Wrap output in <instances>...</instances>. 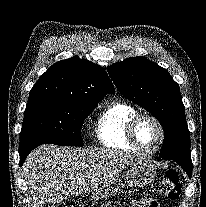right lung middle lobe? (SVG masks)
<instances>
[{"instance_id": "dd1d6c3e", "label": "right lung middle lobe", "mask_w": 206, "mask_h": 207, "mask_svg": "<svg viewBox=\"0 0 206 207\" xmlns=\"http://www.w3.org/2000/svg\"><path fill=\"white\" fill-rule=\"evenodd\" d=\"M97 104H82L56 99L28 102L20 133V153L50 143L83 146L81 128L84 119Z\"/></svg>"}]
</instances>
